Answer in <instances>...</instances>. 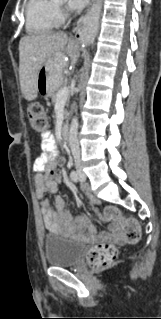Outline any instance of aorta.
Wrapping results in <instances>:
<instances>
[{"label": "aorta", "mask_w": 161, "mask_h": 319, "mask_svg": "<svg viewBox=\"0 0 161 319\" xmlns=\"http://www.w3.org/2000/svg\"><path fill=\"white\" fill-rule=\"evenodd\" d=\"M86 27H87V28L90 27V25H89V20L87 21Z\"/></svg>", "instance_id": "1"}]
</instances>
